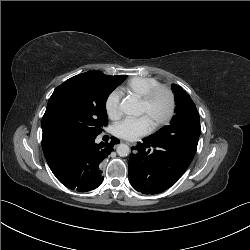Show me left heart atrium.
<instances>
[{
    "mask_svg": "<svg viewBox=\"0 0 250 250\" xmlns=\"http://www.w3.org/2000/svg\"><path fill=\"white\" fill-rule=\"evenodd\" d=\"M153 127V123L148 116L143 115L138 118H125L116 123L113 132L116 136L126 140H136L148 134Z\"/></svg>",
    "mask_w": 250,
    "mask_h": 250,
    "instance_id": "left-heart-atrium-1",
    "label": "left heart atrium"
}]
</instances>
